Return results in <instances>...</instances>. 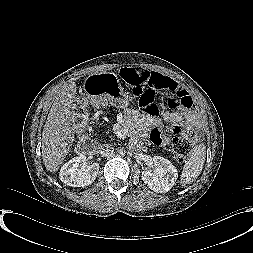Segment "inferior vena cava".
Instances as JSON below:
<instances>
[{
  "mask_svg": "<svg viewBox=\"0 0 253 253\" xmlns=\"http://www.w3.org/2000/svg\"><path fill=\"white\" fill-rule=\"evenodd\" d=\"M112 154H113L112 150H105L104 153H103V156L110 157Z\"/></svg>",
  "mask_w": 253,
  "mask_h": 253,
  "instance_id": "inferior-vena-cava-1",
  "label": "inferior vena cava"
}]
</instances>
